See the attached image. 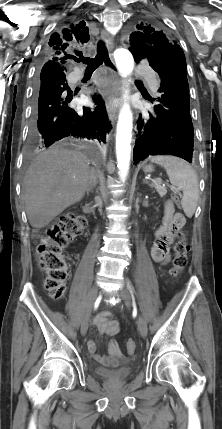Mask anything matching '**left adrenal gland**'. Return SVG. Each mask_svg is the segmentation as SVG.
<instances>
[{"mask_svg":"<svg viewBox=\"0 0 222 429\" xmlns=\"http://www.w3.org/2000/svg\"><path fill=\"white\" fill-rule=\"evenodd\" d=\"M143 182H144V183H148V181H147L146 179H143Z\"/></svg>","mask_w":222,"mask_h":429,"instance_id":"left-adrenal-gland-1","label":"left adrenal gland"}]
</instances>
